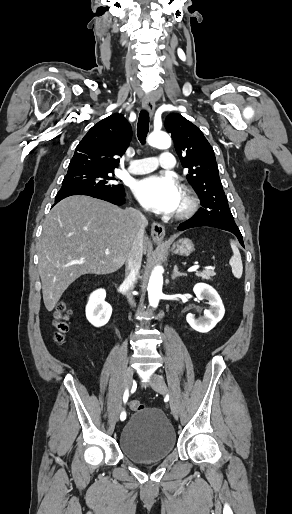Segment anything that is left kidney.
Here are the masks:
<instances>
[{"mask_svg": "<svg viewBox=\"0 0 292 514\" xmlns=\"http://www.w3.org/2000/svg\"><path fill=\"white\" fill-rule=\"evenodd\" d=\"M194 294H196L198 300H209V310H204L203 318H194L193 314H187L186 320L196 332L201 334H207L210 332L220 320H222L225 314V308L222 304V300L217 294L216 290L208 284H196L193 288Z\"/></svg>", "mask_w": 292, "mask_h": 514, "instance_id": "1", "label": "left kidney"}]
</instances>
